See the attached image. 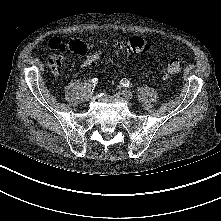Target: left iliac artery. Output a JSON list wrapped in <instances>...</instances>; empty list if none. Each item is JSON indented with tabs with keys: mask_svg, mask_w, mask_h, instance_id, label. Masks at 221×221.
<instances>
[{
	"mask_svg": "<svg viewBox=\"0 0 221 221\" xmlns=\"http://www.w3.org/2000/svg\"><path fill=\"white\" fill-rule=\"evenodd\" d=\"M121 84H122V86H124V87H129V86H130V81H129L128 79H126V78H123V79L121 80Z\"/></svg>",
	"mask_w": 221,
	"mask_h": 221,
	"instance_id": "1",
	"label": "left iliac artery"
}]
</instances>
